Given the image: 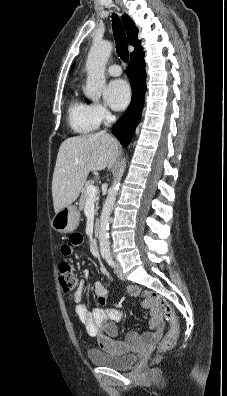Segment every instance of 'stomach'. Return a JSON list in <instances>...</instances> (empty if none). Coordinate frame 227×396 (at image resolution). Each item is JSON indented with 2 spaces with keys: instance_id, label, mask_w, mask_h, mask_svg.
<instances>
[{
  "instance_id": "1",
  "label": "stomach",
  "mask_w": 227,
  "mask_h": 396,
  "mask_svg": "<svg viewBox=\"0 0 227 396\" xmlns=\"http://www.w3.org/2000/svg\"><path fill=\"white\" fill-rule=\"evenodd\" d=\"M80 214L75 206L69 205L56 212L52 227L59 233H69L74 231L79 224Z\"/></svg>"
}]
</instances>
